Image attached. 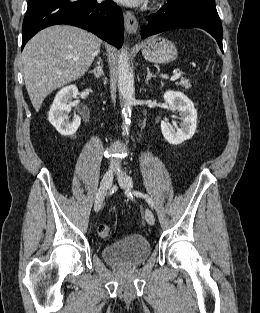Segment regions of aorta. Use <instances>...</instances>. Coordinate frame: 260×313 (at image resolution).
<instances>
[{
  "label": "aorta",
  "instance_id": "obj_1",
  "mask_svg": "<svg viewBox=\"0 0 260 313\" xmlns=\"http://www.w3.org/2000/svg\"><path fill=\"white\" fill-rule=\"evenodd\" d=\"M118 90L124 119L123 134L129 135L130 117L134 105V78L129 65L127 48L124 46L118 57Z\"/></svg>",
  "mask_w": 260,
  "mask_h": 313
}]
</instances>
